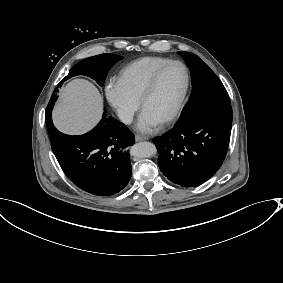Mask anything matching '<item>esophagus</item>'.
Wrapping results in <instances>:
<instances>
[{"label":"esophagus","instance_id":"esophagus-1","mask_svg":"<svg viewBox=\"0 0 283 283\" xmlns=\"http://www.w3.org/2000/svg\"><path fill=\"white\" fill-rule=\"evenodd\" d=\"M135 140H136L137 142H139V141L148 140V138L145 137V136H141V135H135Z\"/></svg>","mask_w":283,"mask_h":283}]
</instances>
